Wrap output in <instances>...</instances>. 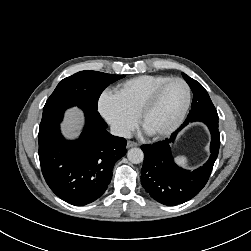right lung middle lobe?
<instances>
[{"label":"right lung middle lobe","mask_w":251,"mask_h":251,"mask_svg":"<svg viewBox=\"0 0 251 251\" xmlns=\"http://www.w3.org/2000/svg\"><path fill=\"white\" fill-rule=\"evenodd\" d=\"M124 75L106 74L97 71H81L63 79L46 101L43 110L73 103L87 105L97 109L98 99L102 91L111 83L123 78Z\"/></svg>","instance_id":"1"}]
</instances>
